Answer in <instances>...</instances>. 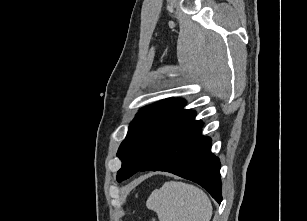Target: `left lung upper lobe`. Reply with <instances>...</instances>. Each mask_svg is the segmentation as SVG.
<instances>
[{"instance_id": "5c2ea615", "label": "left lung upper lobe", "mask_w": 307, "mask_h": 221, "mask_svg": "<svg viewBox=\"0 0 307 221\" xmlns=\"http://www.w3.org/2000/svg\"><path fill=\"white\" fill-rule=\"evenodd\" d=\"M182 99L168 98L140 110L131 125L117 156L122 161L117 180L139 171L168 144L197 125L195 112L184 110Z\"/></svg>"}]
</instances>
